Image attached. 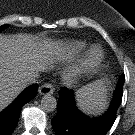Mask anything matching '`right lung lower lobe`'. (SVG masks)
<instances>
[{"label": "right lung lower lobe", "mask_w": 135, "mask_h": 135, "mask_svg": "<svg viewBox=\"0 0 135 135\" xmlns=\"http://www.w3.org/2000/svg\"><path fill=\"white\" fill-rule=\"evenodd\" d=\"M37 89V84L28 87L8 108L0 113V135L12 134L18 123L21 108L36 96Z\"/></svg>", "instance_id": "98d812e1"}]
</instances>
